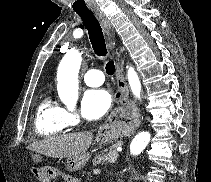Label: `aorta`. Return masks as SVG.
Listing matches in <instances>:
<instances>
[{
    "mask_svg": "<svg viewBox=\"0 0 211 182\" xmlns=\"http://www.w3.org/2000/svg\"><path fill=\"white\" fill-rule=\"evenodd\" d=\"M81 54L68 52L61 60L57 72V90L60 100L68 107L74 108L78 100V73L81 66ZM127 78L133 95L141 98V83L133 67H129ZM149 132H140L131 142L130 153L139 155L150 142Z\"/></svg>",
    "mask_w": 211,
    "mask_h": 182,
    "instance_id": "obj_1",
    "label": "aorta"
}]
</instances>
